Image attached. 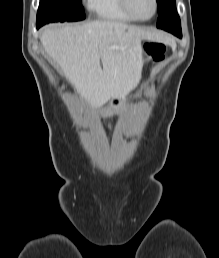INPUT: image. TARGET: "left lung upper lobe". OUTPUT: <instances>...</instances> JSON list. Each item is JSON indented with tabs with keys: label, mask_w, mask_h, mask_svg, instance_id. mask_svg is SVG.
I'll return each mask as SVG.
<instances>
[{
	"label": "left lung upper lobe",
	"mask_w": 219,
	"mask_h": 258,
	"mask_svg": "<svg viewBox=\"0 0 219 258\" xmlns=\"http://www.w3.org/2000/svg\"><path fill=\"white\" fill-rule=\"evenodd\" d=\"M158 4V20L157 27L178 28L181 27V22L176 9V0H157Z\"/></svg>",
	"instance_id": "left-lung-upper-lobe-1"
}]
</instances>
